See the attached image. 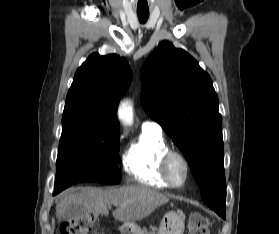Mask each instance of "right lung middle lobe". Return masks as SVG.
Segmentation results:
<instances>
[{
	"label": "right lung middle lobe",
	"instance_id": "right-lung-middle-lobe-1",
	"mask_svg": "<svg viewBox=\"0 0 279 234\" xmlns=\"http://www.w3.org/2000/svg\"><path fill=\"white\" fill-rule=\"evenodd\" d=\"M54 194L77 182L118 184L119 132H106L82 118H63Z\"/></svg>",
	"mask_w": 279,
	"mask_h": 234
}]
</instances>
